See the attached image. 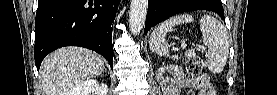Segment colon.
Instances as JSON below:
<instances>
[{"instance_id":"obj_1","label":"colon","mask_w":277,"mask_h":95,"mask_svg":"<svg viewBox=\"0 0 277 95\" xmlns=\"http://www.w3.org/2000/svg\"><path fill=\"white\" fill-rule=\"evenodd\" d=\"M206 62L200 55H195L186 64L188 76L202 74L205 70Z\"/></svg>"}]
</instances>
